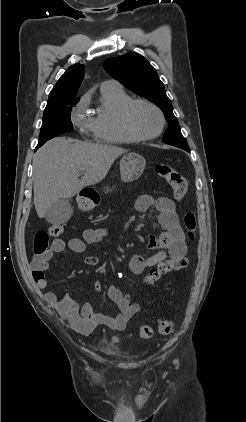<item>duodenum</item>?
<instances>
[{"label":"duodenum","mask_w":246,"mask_h":422,"mask_svg":"<svg viewBox=\"0 0 246 422\" xmlns=\"http://www.w3.org/2000/svg\"><path fill=\"white\" fill-rule=\"evenodd\" d=\"M88 200L92 203V204H96L98 202V199L95 196H88Z\"/></svg>","instance_id":"410a0bca"}]
</instances>
